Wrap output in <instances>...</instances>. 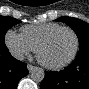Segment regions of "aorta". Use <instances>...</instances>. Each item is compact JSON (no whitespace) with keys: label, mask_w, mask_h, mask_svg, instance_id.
<instances>
[{"label":"aorta","mask_w":89,"mask_h":89,"mask_svg":"<svg viewBox=\"0 0 89 89\" xmlns=\"http://www.w3.org/2000/svg\"><path fill=\"white\" fill-rule=\"evenodd\" d=\"M30 77L33 81L39 83L45 77L44 70L40 67H32L30 70Z\"/></svg>","instance_id":"762f6f07"}]
</instances>
